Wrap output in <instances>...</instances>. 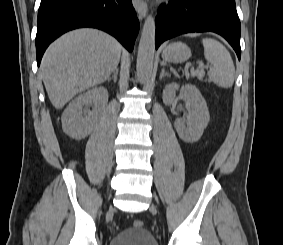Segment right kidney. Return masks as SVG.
Segmentation results:
<instances>
[{"label":"right kidney","instance_id":"right-kidney-1","mask_svg":"<svg viewBox=\"0 0 283 245\" xmlns=\"http://www.w3.org/2000/svg\"><path fill=\"white\" fill-rule=\"evenodd\" d=\"M108 102V91L95 87L72 100L62 114V129L74 139L87 137ZM92 108V110H90Z\"/></svg>","mask_w":283,"mask_h":245}]
</instances>
